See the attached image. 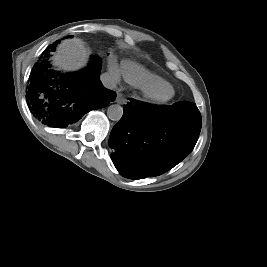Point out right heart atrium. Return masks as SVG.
Masks as SVG:
<instances>
[{"label":"right heart atrium","mask_w":267,"mask_h":267,"mask_svg":"<svg viewBox=\"0 0 267 267\" xmlns=\"http://www.w3.org/2000/svg\"><path fill=\"white\" fill-rule=\"evenodd\" d=\"M108 70L109 73L111 75V77L115 80V81H119L120 79V69L115 61V59L112 57L109 59L108 62Z\"/></svg>","instance_id":"obj_1"}]
</instances>
